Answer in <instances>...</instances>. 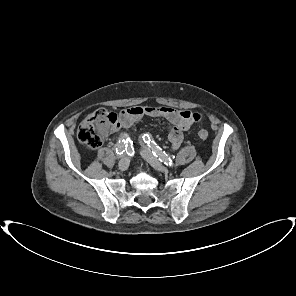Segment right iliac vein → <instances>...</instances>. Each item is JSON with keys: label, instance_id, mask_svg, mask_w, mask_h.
I'll list each match as a JSON object with an SVG mask.
<instances>
[{"label": "right iliac vein", "instance_id": "1", "mask_svg": "<svg viewBox=\"0 0 296 296\" xmlns=\"http://www.w3.org/2000/svg\"><path fill=\"white\" fill-rule=\"evenodd\" d=\"M128 166H129V159L128 157L123 156L118 163V167L121 171H125L127 170Z\"/></svg>", "mask_w": 296, "mask_h": 296}]
</instances>
